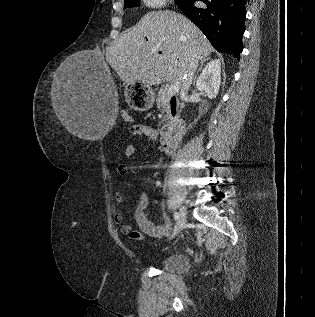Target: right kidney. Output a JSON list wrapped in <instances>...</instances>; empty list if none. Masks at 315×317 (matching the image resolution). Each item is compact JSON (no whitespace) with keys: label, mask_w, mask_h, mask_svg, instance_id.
<instances>
[{"label":"right kidney","mask_w":315,"mask_h":317,"mask_svg":"<svg viewBox=\"0 0 315 317\" xmlns=\"http://www.w3.org/2000/svg\"><path fill=\"white\" fill-rule=\"evenodd\" d=\"M221 83V61L214 59L210 61L199 76L196 87L204 92L208 98L213 99L217 96Z\"/></svg>","instance_id":"1"}]
</instances>
